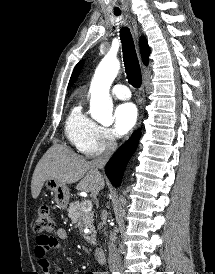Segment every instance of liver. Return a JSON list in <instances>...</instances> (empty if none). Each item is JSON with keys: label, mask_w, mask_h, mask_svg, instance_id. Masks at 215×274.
<instances>
[{"label": "liver", "mask_w": 215, "mask_h": 274, "mask_svg": "<svg viewBox=\"0 0 215 274\" xmlns=\"http://www.w3.org/2000/svg\"><path fill=\"white\" fill-rule=\"evenodd\" d=\"M48 178H53L62 184L79 182L76 189L90 192L93 197H96L104 187L103 177L91 162L60 144L50 147L35 168L31 182L34 199L39 196Z\"/></svg>", "instance_id": "liver-1"}]
</instances>
